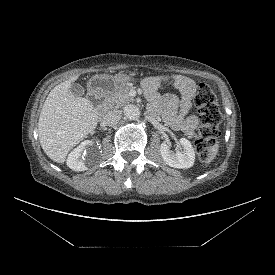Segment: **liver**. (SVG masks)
Masks as SVG:
<instances>
[{"mask_svg": "<svg viewBox=\"0 0 275 275\" xmlns=\"http://www.w3.org/2000/svg\"><path fill=\"white\" fill-rule=\"evenodd\" d=\"M79 75L55 86L42 107L38 134L42 149L57 163H64L69 151L97 126L99 113L92 102L70 92Z\"/></svg>", "mask_w": 275, "mask_h": 275, "instance_id": "6515ba94", "label": "liver"}]
</instances>
